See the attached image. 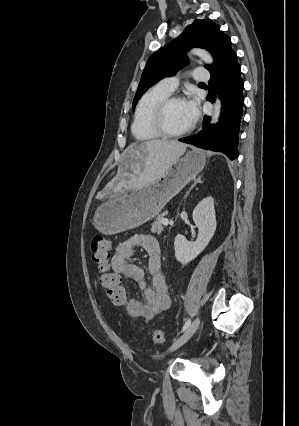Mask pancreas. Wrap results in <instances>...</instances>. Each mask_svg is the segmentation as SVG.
<instances>
[{
	"instance_id": "1",
	"label": "pancreas",
	"mask_w": 299,
	"mask_h": 426,
	"mask_svg": "<svg viewBox=\"0 0 299 426\" xmlns=\"http://www.w3.org/2000/svg\"><path fill=\"white\" fill-rule=\"evenodd\" d=\"M165 215H166V213H162V214L157 216L156 220L152 224V232L157 233V234H161V232L164 229L162 220L164 219Z\"/></svg>"
}]
</instances>
